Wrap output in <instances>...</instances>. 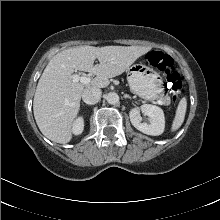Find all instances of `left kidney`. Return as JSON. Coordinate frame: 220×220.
Segmentation results:
<instances>
[{"instance_id": "left-kidney-1", "label": "left kidney", "mask_w": 220, "mask_h": 220, "mask_svg": "<svg viewBox=\"0 0 220 220\" xmlns=\"http://www.w3.org/2000/svg\"><path fill=\"white\" fill-rule=\"evenodd\" d=\"M140 110L149 117V123H141ZM132 125L144 134L158 136L164 132L165 117L163 110L155 105L144 104L140 108H133L129 112Z\"/></svg>"}]
</instances>
